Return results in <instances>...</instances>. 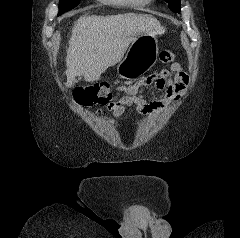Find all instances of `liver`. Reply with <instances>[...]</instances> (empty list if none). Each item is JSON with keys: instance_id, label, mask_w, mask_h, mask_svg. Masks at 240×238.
Wrapping results in <instances>:
<instances>
[{"instance_id": "1", "label": "liver", "mask_w": 240, "mask_h": 238, "mask_svg": "<svg viewBox=\"0 0 240 238\" xmlns=\"http://www.w3.org/2000/svg\"><path fill=\"white\" fill-rule=\"evenodd\" d=\"M164 32L160 22L148 14L81 16L72 28L67 49L66 87H72L77 76L87 82L98 81L102 73L124 57L136 37Z\"/></svg>"}]
</instances>
